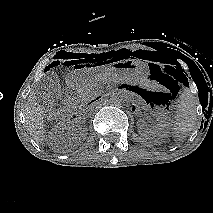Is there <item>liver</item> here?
Listing matches in <instances>:
<instances>
[{
    "label": "liver",
    "mask_w": 213,
    "mask_h": 213,
    "mask_svg": "<svg viewBox=\"0 0 213 213\" xmlns=\"http://www.w3.org/2000/svg\"><path fill=\"white\" fill-rule=\"evenodd\" d=\"M113 69H105V72H111ZM25 121L29 134L38 143L42 144L44 141V111L36 102L34 92H31L27 99L25 106Z\"/></svg>",
    "instance_id": "liver-1"
}]
</instances>
